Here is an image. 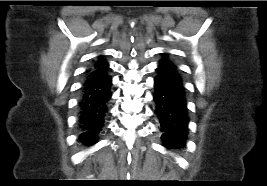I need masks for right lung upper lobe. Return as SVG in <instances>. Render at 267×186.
<instances>
[{"instance_id":"right-lung-upper-lobe-1","label":"right lung upper lobe","mask_w":267,"mask_h":186,"mask_svg":"<svg viewBox=\"0 0 267 186\" xmlns=\"http://www.w3.org/2000/svg\"><path fill=\"white\" fill-rule=\"evenodd\" d=\"M104 60H105V59H104L102 56H99L98 59H97V61H96L95 63L102 62V61H104Z\"/></svg>"}]
</instances>
